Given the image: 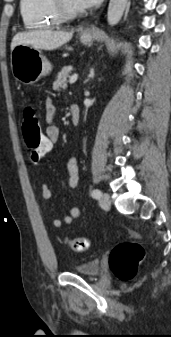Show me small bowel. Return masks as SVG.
Listing matches in <instances>:
<instances>
[{"label": "small bowel", "mask_w": 171, "mask_h": 337, "mask_svg": "<svg viewBox=\"0 0 171 337\" xmlns=\"http://www.w3.org/2000/svg\"><path fill=\"white\" fill-rule=\"evenodd\" d=\"M56 112V106L52 100H48L45 105V117L47 120V126L45 129L47 140H51V146L55 144L60 137V130L57 125L53 123V117ZM68 172V185L71 189H77L79 183V160L77 157H71L66 165ZM41 194L43 199L49 200L52 196L51 189L48 184L43 183L41 185ZM80 216V209L78 207H73L70 212L64 217V223L72 224ZM63 222L55 218L52 221V225L59 229L62 227Z\"/></svg>", "instance_id": "obj_1"}]
</instances>
